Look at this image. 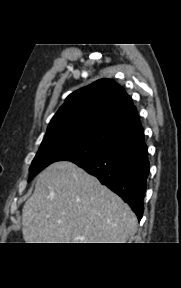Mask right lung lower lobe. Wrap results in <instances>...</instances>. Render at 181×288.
<instances>
[{
	"label": "right lung lower lobe",
	"mask_w": 181,
	"mask_h": 288,
	"mask_svg": "<svg viewBox=\"0 0 181 288\" xmlns=\"http://www.w3.org/2000/svg\"><path fill=\"white\" fill-rule=\"evenodd\" d=\"M71 162L96 176L102 184L118 194L141 220L150 167L145 143L77 158Z\"/></svg>",
	"instance_id": "obj_1"
}]
</instances>
